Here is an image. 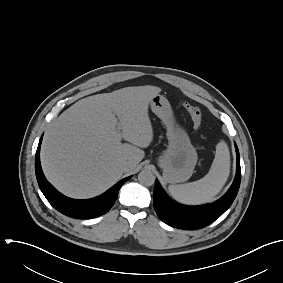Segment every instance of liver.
<instances>
[{"instance_id": "liver-1", "label": "liver", "mask_w": 283, "mask_h": 283, "mask_svg": "<svg viewBox=\"0 0 283 283\" xmlns=\"http://www.w3.org/2000/svg\"><path fill=\"white\" fill-rule=\"evenodd\" d=\"M160 92L156 86L125 87L83 98L65 110L41 146L48 181L69 197L87 199L134 170L145 156L140 148L153 140L148 107ZM125 162L127 171L120 168Z\"/></svg>"}]
</instances>
